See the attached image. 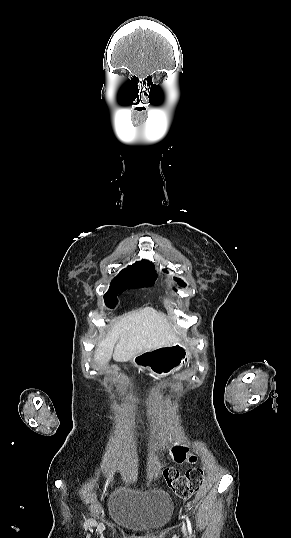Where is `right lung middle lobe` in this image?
Returning <instances> with one entry per match:
<instances>
[{
  "label": "right lung middle lobe",
  "instance_id": "dd1d6c3e",
  "mask_svg": "<svg viewBox=\"0 0 291 538\" xmlns=\"http://www.w3.org/2000/svg\"><path fill=\"white\" fill-rule=\"evenodd\" d=\"M156 277L153 263L136 262L128 266L111 282L108 292L104 295L105 303L114 308L120 292L128 288L150 286Z\"/></svg>",
  "mask_w": 291,
  "mask_h": 538
}]
</instances>
